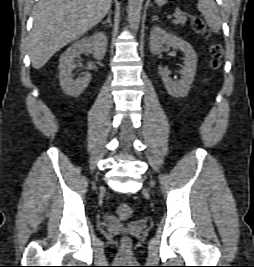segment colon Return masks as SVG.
<instances>
[{
    "label": "colon",
    "instance_id": "5ec220e1",
    "mask_svg": "<svg viewBox=\"0 0 254 267\" xmlns=\"http://www.w3.org/2000/svg\"><path fill=\"white\" fill-rule=\"evenodd\" d=\"M192 26L197 32L207 35L205 23L199 16H195L192 19ZM210 54L212 58L211 59L212 69H218L221 66V59L223 57L222 46L219 43H213L210 46ZM131 213L132 210L127 204L122 203L117 208V214L123 220L128 219L131 216ZM121 243L125 248H128L131 245V239L125 236L122 238Z\"/></svg>",
    "mask_w": 254,
    "mask_h": 267
}]
</instances>
